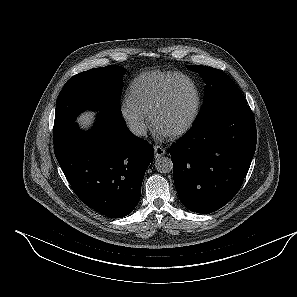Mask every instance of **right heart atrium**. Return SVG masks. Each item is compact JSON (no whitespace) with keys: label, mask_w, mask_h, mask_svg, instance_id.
<instances>
[{"label":"right heart atrium","mask_w":297,"mask_h":297,"mask_svg":"<svg viewBox=\"0 0 297 297\" xmlns=\"http://www.w3.org/2000/svg\"><path fill=\"white\" fill-rule=\"evenodd\" d=\"M120 114L129 130L138 137L144 136L148 128L147 115L129 97L120 103Z\"/></svg>","instance_id":"right-heart-atrium-1"}]
</instances>
